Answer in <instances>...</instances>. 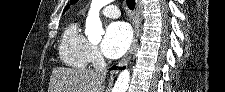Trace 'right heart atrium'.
Listing matches in <instances>:
<instances>
[{
	"label": "right heart atrium",
	"mask_w": 225,
	"mask_h": 92,
	"mask_svg": "<svg viewBox=\"0 0 225 92\" xmlns=\"http://www.w3.org/2000/svg\"><path fill=\"white\" fill-rule=\"evenodd\" d=\"M89 62L93 65H100L102 63L100 50L94 44H91Z\"/></svg>",
	"instance_id": "d8ad5b80"
}]
</instances>
